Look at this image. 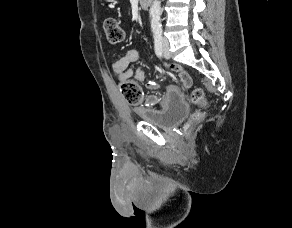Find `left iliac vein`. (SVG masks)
<instances>
[{
    "label": "left iliac vein",
    "mask_w": 292,
    "mask_h": 228,
    "mask_svg": "<svg viewBox=\"0 0 292 228\" xmlns=\"http://www.w3.org/2000/svg\"><path fill=\"white\" fill-rule=\"evenodd\" d=\"M163 54H164V57H165L166 59L170 58V53H169L168 43H167V41H164V42H163Z\"/></svg>",
    "instance_id": "obj_1"
}]
</instances>
